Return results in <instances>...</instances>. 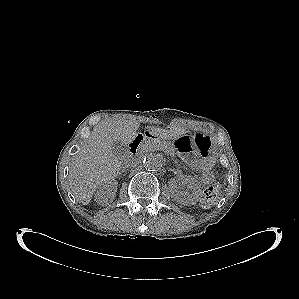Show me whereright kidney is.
<instances>
[{"label": "right kidney", "mask_w": 299, "mask_h": 299, "mask_svg": "<svg viewBox=\"0 0 299 299\" xmlns=\"http://www.w3.org/2000/svg\"><path fill=\"white\" fill-rule=\"evenodd\" d=\"M117 183L107 182L100 186L95 194V201L102 205H108L116 197Z\"/></svg>", "instance_id": "right-kidney-1"}]
</instances>
